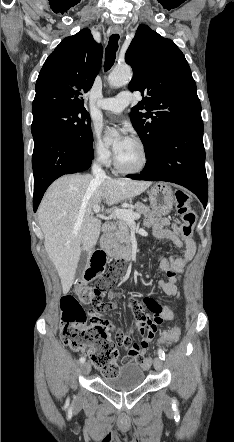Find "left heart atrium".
I'll list each match as a JSON object with an SVG mask.
<instances>
[{
	"instance_id": "39dd6f15",
	"label": "left heart atrium",
	"mask_w": 234,
	"mask_h": 442,
	"mask_svg": "<svg viewBox=\"0 0 234 442\" xmlns=\"http://www.w3.org/2000/svg\"><path fill=\"white\" fill-rule=\"evenodd\" d=\"M118 131H119L120 137H119V142H118V147L116 149V152L123 150L126 146H128L130 144V142H132V138L129 136L128 128L126 125H123V124L119 125Z\"/></svg>"
}]
</instances>
